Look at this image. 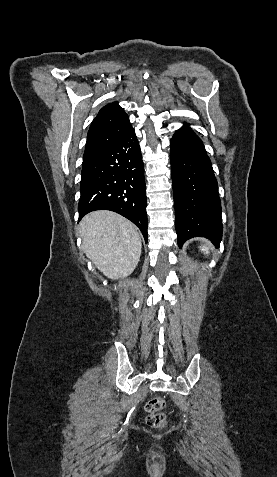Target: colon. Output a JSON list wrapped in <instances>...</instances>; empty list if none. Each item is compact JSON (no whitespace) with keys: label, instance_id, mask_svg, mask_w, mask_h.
I'll return each instance as SVG.
<instances>
[{"label":"colon","instance_id":"5ec220e1","mask_svg":"<svg viewBox=\"0 0 277 477\" xmlns=\"http://www.w3.org/2000/svg\"><path fill=\"white\" fill-rule=\"evenodd\" d=\"M165 401L161 397H154L148 400L145 405L147 412L146 423L152 428H162L165 426L167 418L164 413Z\"/></svg>","mask_w":277,"mask_h":477}]
</instances>
